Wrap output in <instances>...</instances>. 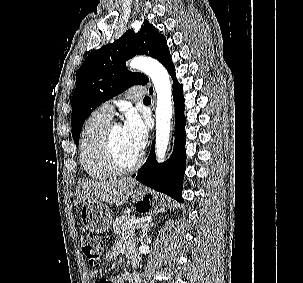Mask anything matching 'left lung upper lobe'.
<instances>
[{
    "instance_id": "left-lung-upper-lobe-1",
    "label": "left lung upper lobe",
    "mask_w": 303,
    "mask_h": 283,
    "mask_svg": "<svg viewBox=\"0 0 303 283\" xmlns=\"http://www.w3.org/2000/svg\"><path fill=\"white\" fill-rule=\"evenodd\" d=\"M156 58L165 67L171 62L165 37L144 20L138 33L126 31L112 44L92 52L77 73V85L72 99V136L79 144L82 126L99 105L133 85H145L149 79L142 73H132L126 61L135 55Z\"/></svg>"
}]
</instances>
